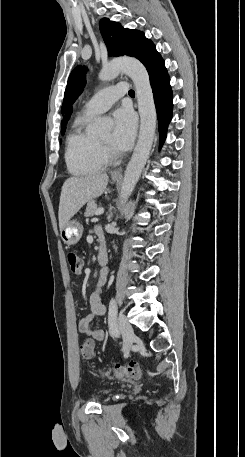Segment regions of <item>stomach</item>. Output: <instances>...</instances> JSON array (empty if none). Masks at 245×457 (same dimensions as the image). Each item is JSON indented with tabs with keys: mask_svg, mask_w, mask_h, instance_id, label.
<instances>
[{
	"mask_svg": "<svg viewBox=\"0 0 245 457\" xmlns=\"http://www.w3.org/2000/svg\"><path fill=\"white\" fill-rule=\"evenodd\" d=\"M112 180H118V178H112ZM60 237L65 245H76L82 237V224L77 220H68L61 229Z\"/></svg>",
	"mask_w": 245,
	"mask_h": 457,
	"instance_id": "obj_1",
	"label": "stomach"
}]
</instances>
